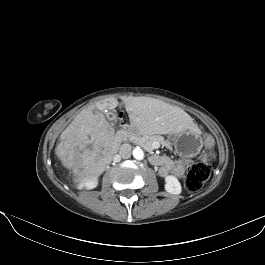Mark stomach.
<instances>
[{
  "instance_id": "obj_1",
  "label": "stomach",
  "mask_w": 265,
  "mask_h": 265,
  "mask_svg": "<svg viewBox=\"0 0 265 265\" xmlns=\"http://www.w3.org/2000/svg\"><path fill=\"white\" fill-rule=\"evenodd\" d=\"M168 139L174 145L176 153L183 157L196 156L202 147L200 135L192 130L169 134Z\"/></svg>"
}]
</instances>
